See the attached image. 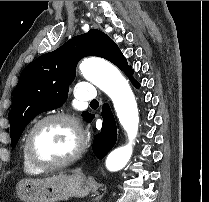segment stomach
I'll return each instance as SVG.
<instances>
[{
  "label": "stomach",
  "instance_id": "obj_1",
  "mask_svg": "<svg viewBox=\"0 0 209 202\" xmlns=\"http://www.w3.org/2000/svg\"><path fill=\"white\" fill-rule=\"evenodd\" d=\"M90 191L88 181L80 173L23 179L15 188L17 197L23 202H58L70 197H85Z\"/></svg>",
  "mask_w": 209,
  "mask_h": 202
}]
</instances>
